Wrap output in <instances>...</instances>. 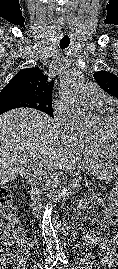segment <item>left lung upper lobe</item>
<instances>
[{
	"instance_id": "obj_1",
	"label": "left lung upper lobe",
	"mask_w": 118,
	"mask_h": 269,
	"mask_svg": "<svg viewBox=\"0 0 118 269\" xmlns=\"http://www.w3.org/2000/svg\"><path fill=\"white\" fill-rule=\"evenodd\" d=\"M93 76L104 91L118 98V77L116 75L107 71H99Z\"/></svg>"
}]
</instances>
